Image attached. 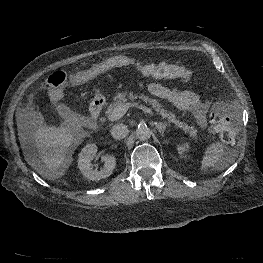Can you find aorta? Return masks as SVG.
<instances>
[{
	"label": "aorta",
	"mask_w": 263,
	"mask_h": 263,
	"mask_svg": "<svg viewBox=\"0 0 263 263\" xmlns=\"http://www.w3.org/2000/svg\"><path fill=\"white\" fill-rule=\"evenodd\" d=\"M151 130L145 125H139L136 129V137L140 141H146L151 137Z\"/></svg>",
	"instance_id": "762f6f07"
}]
</instances>
